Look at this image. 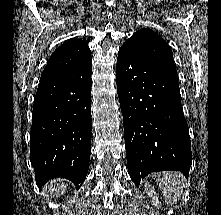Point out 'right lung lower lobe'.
<instances>
[{"label":"right lung lower lobe","instance_id":"98d812e1","mask_svg":"<svg viewBox=\"0 0 221 215\" xmlns=\"http://www.w3.org/2000/svg\"><path fill=\"white\" fill-rule=\"evenodd\" d=\"M90 57L61 76L40 81L34 98L30 161L36 182L61 177L77 188L86 178L91 153Z\"/></svg>","mask_w":221,"mask_h":215}]
</instances>
